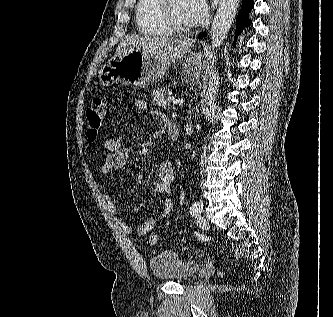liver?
Returning a JSON list of instances; mask_svg holds the SVG:
<instances>
[{
  "instance_id": "liver-1",
  "label": "liver",
  "mask_w": 333,
  "mask_h": 317,
  "mask_svg": "<svg viewBox=\"0 0 333 317\" xmlns=\"http://www.w3.org/2000/svg\"><path fill=\"white\" fill-rule=\"evenodd\" d=\"M193 39H175L148 35H127L116 49L115 56H123L127 50L138 49L146 54L175 63L194 46Z\"/></svg>"
}]
</instances>
